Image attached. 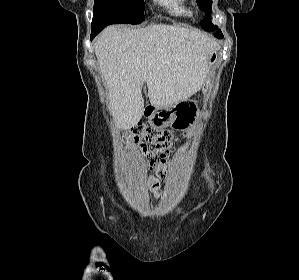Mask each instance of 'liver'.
I'll return each instance as SVG.
<instances>
[{
    "mask_svg": "<svg viewBox=\"0 0 299 280\" xmlns=\"http://www.w3.org/2000/svg\"><path fill=\"white\" fill-rule=\"evenodd\" d=\"M217 48L203 33L176 25L107 27L94 51L116 125L127 130L140 121L145 82L153 106H170L194 95L206 80L209 53Z\"/></svg>",
    "mask_w": 299,
    "mask_h": 280,
    "instance_id": "6515ba94",
    "label": "liver"
}]
</instances>
